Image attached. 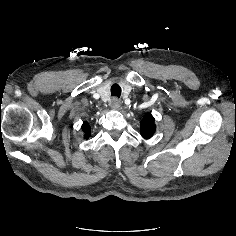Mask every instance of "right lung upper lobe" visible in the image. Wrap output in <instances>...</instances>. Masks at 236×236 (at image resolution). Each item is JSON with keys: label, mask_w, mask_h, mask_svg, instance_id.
I'll return each mask as SVG.
<instances>
[{"label": "right lung upper lobe", "mask_w": 236, "mask_h": 236, "mask_svg": "<svg viewBox=\"0 0 236 236\" xmlns=\"http://www.w3.org/2000/svg\"><path fill=\"white\" fill-rule=\"evenodd\" d=\"M82 130L85 133V138H88L90 136V125L87 122L83 123Z\"/></svg>", "instance_id": "1"}]
</instances>
